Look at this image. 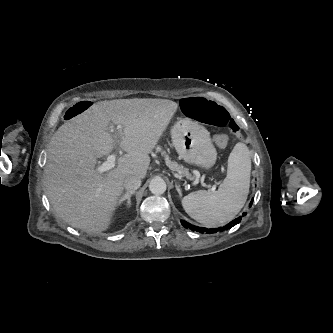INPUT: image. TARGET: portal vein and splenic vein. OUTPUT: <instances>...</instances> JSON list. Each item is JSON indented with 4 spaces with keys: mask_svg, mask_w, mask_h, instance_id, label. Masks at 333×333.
<instances>
[{
    "mask_svg": "<svg viewBox=\"0 0 333 333\" xmlns=\"http://www.w3.org/2000/svg\"><path fill=\"white\" fill-rule=\"evenodd\" d=\"M117 128L120 129L121 125H118ZM115 160H116V154H110L107 157V160L98 166V171L103 173V172H106V171L114 168ZM211 190L214 191L215 187H213Z\"/></svg>",
    "mask_w": 333,
    "mask_h": 333,
    "instance_id": "18ae733b",
    "label": "portal vein and splenic vein"
}]
</instances>
